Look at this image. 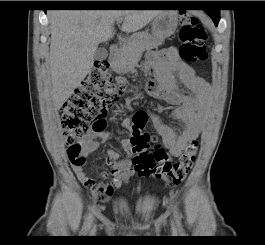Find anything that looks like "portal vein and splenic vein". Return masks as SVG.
Returning <instances> with one entry per match:
<instances>
[{"label": "portal vein and splenic vein", "mask_w": 265, "mask_h": 245, "mask_svg": "<svg viewBox=\"0 0 265 245\" xmlns=\"http://www.w3.org/2000/svg\"><path fill=\"white\" fill-rule=\"evenodd\" d=\"M122 23V19H117V24Z\"/></svg>", "instance_id": "portal-vein-and-splenic-vein-1"}]
</instances>
